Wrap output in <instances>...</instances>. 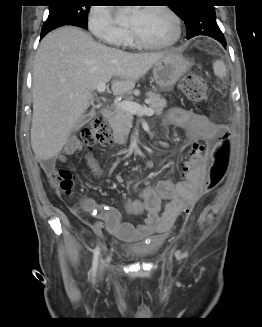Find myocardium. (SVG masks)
<instances>
[{
	"label": "myocardium",
	"mask_w": 262,
	"mask_h": 327,
	"mask_svg": "<svg viewBox=\"0 0 262 327\" xmlns=\"http://www.w3.org/2000/svg\"><path fill=\"white\" fill-rule=\"evenodd\" d=\"M144 9H155L166 13L174 24V34L169 40L157 43L145 40L135 30L130 28L129 31L134 42L137 45L148 49H164L175 45L182 35V22L179 15L171 7L162 4L153 5Z\"/></svg>",
	"instance_id": "obj_1"
}]
</instances>
